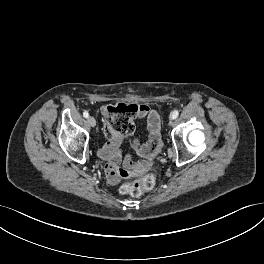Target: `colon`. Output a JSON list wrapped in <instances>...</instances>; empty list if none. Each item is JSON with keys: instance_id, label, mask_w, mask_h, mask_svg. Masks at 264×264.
Wrapping results in <instances>:
<instances>
[{"instance_id": "obj_1", "label": "colon", "mask_w": 264, "mask_h": 264, "mask_svg": "<svg viewBox=\"0 0 264 264\" xmlns=\"http://www.w3.org/2000/svg\"><path fill=\"white\" fill-rule=\"evenodd\" d=\"M137 113V106L135 104H117L109 105L104 109V115L108 127L105 129L107 136L111 134L129 135L134 131V119ZM131 175L133 180L129 183L123 184L120 191L124 194L132 196H139L149 190L155 185L154 175L148 173L144 174L142 170L136 169L131 173L124 171L122 176Z\"/></svg>"}]
</instances>
